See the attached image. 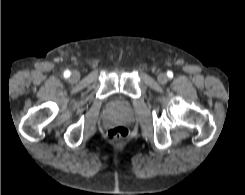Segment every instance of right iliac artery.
I'll return each instance as SVG.
<instances>
[{
  "label": "right iliac artery",
  "mask_w": 245,
  "mask_h": 195,
  "mask_svg": "<svg viewBox=\"0 0 245 195\" xmlns=\"http://www.w3.org/2000/svg\"><path fill=\"white\" fill-rule=\"evenodd\" d=\"M64 76H65L66 78H68V77L70 76V71H69V70H66V71L64 72Z\"/></svg>",
  "instance_id": "82829eb1"
}]
</instances>
